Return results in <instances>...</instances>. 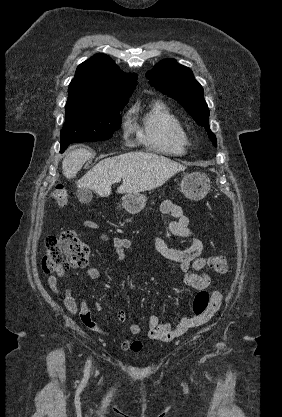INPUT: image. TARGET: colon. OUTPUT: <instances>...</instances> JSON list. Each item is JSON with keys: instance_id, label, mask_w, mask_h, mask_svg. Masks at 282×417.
Segmentation results:
<instances>
[{"instance_id": "colon-1", "label": "colon", "mask_w": 282, "mask_h": 417, "mask_svg": "<svg viewBox=\"0 0 282 417\" xmlns=\"http://www.w3.org/2000/svg\"><path fill=\"white\" fill-rule=\"evenodd\" d=\"M50 196L56 207L68 205V193L65 187L57 184L50 191ZM47 253L42 259L44 272L65 274L72 269L84 267L89 259V248L86 243L75 237L70 231L64 230L58 235H52L45 240ZM211 268L219 273L227 269V259L216 255L211 260ZM211 304V294L207 290L200 291L193 300L192 309L196 316L205 313Z\"/></svg>"}]
</instances>
